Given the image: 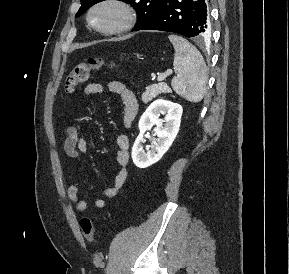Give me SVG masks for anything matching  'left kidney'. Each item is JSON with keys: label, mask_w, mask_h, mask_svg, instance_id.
Masks as SVG:
<instances>
[{"label": "left kidney", "mask_w": 289, "mask_h": 274, "mask_svg": "<svg viewBox=\"0 0 289 274\" xmlns=\"http://www.w3.org/2000/svg\"><path fill=\"white\" fill-rule=\"evenodd\" d=\"M182 112V106L171 101L158 99L150 104L139 120L140 133L132 148V160L137 167H149L167 152L178 134ZM160 114H164L165 118L160 119ZM153 125H156L155 135L158 138L145 151L142 147L144 134Z\"/></svg>", "instance_id": "1"}]
</instances>
